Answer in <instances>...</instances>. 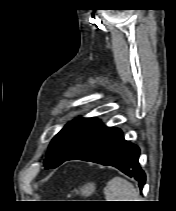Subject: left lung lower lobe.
<instances>
[{"mask_svg": "<svg viewBox=\"0 0 176 211\" xmlns=\"http://www.w3.org/2000/svg\"><path fill=\"white\" fill-rule=\"evenodd\" d=\"M139 153L136 145L124 139L121 130L105 126L67 160H84L116 167L126 175L134 177L142 190L145 173L138 163Z\"/></svg>", "mask_w": 176, "mask_h": 211, "instance_id": "obj_1", "label": "left lung lower lobe"}]
</instances>
